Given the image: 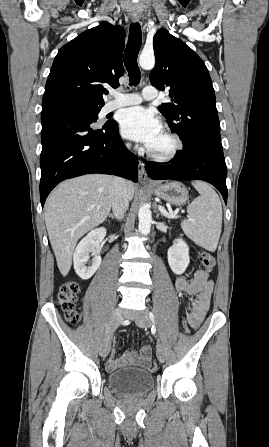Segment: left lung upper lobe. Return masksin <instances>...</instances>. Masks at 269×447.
Masks as SVG:
<instances>
[{"label": "left lung upper lobe", "mask_w": 269, "mask_h": 447, "mask_svg": "<svg viewBox=\"0 0 269 447\" xmlns=\"http://www.w3.org/2000/svg\"><path fill=\"white\" fill-rule=\"evenodd\" d=\"M156 65L150 81L158 89H169L172 103L159 106L160 112L188 152L203 142L221 144L215 92L206 65L183 41L166 29L154 35Z\"/></svg>", "instance_id": "5c2ea615"}]
</instances>
